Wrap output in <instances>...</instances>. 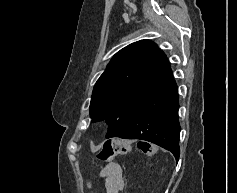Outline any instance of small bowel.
<instances>
[{
	"mask_svg": "<svg viewBox=\"0 0 237 193\" xmlns=\"http://www.w3.org/2000/svg\"><path fill=\"white\" fill-rule=\"evenodd\" d=\"M100 176L105 180L106 193H120L125 187L123 170L118 163L107 164L101 170Z\"/></svg>",
	"mask_w": 237,
	"mask_h": 193,
	"instance_id": "obj_1",
	"label": "small bowel"
}]
</instances>
